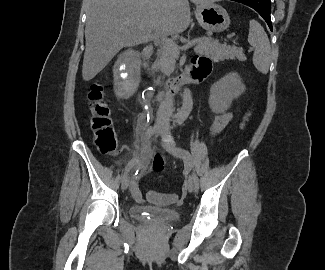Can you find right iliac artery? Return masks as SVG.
Wrapping results in <instances>:
<instances>
[{"label": "right iliac artery", "instance_id": "right-iliac-artery-1", "mask_svg": "<svg viewBox=\"0 0 325 270\" xmlns=\"http://www.w3.org/2000/svg\"><path fill=\"white\" fill-rule=\"evenodd\" d=\"M153 132H154V127H149L145 132V140H148L153 135ZM137 162H138V158H133L132 160L129 161L122 175V181L127 178L128 172L135 166Z\"/></svg>", "mask_w": 325, "mask_h": 270}]
</instances>
